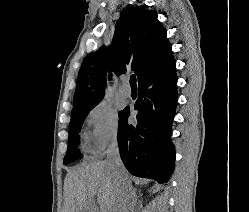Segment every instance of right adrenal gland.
Masks as SVG:
<instances>
[{"label": "right adrenal gland", "instance_id": "1", "mask_svg": "<svg viewBox=\"0 0 249 212\" xmlns=\"http://www.w3.org/2000/svg\"><path fill=\"white\" fill-rule=\"evenodd\" d=\"M132 198H133L134 206H137L138 198H140V196H136L135 188H133L132 190Z\"/></svg>", "mask_w": 249, "mask_h": 212}]
</instances>
